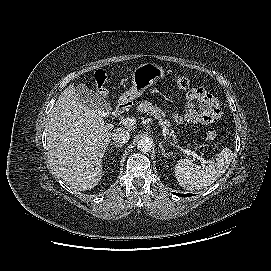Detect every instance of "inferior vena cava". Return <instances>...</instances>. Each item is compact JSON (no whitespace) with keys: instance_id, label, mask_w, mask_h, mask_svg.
Masks as SVG:
<instances>
[{"instance_id":"obj_1","label":"inferior vena cava","mask_w":271,"mask_h":271,"mask_svg":"<svg viewBox=\"0 0 271 271\" xmlns=\"http://www.w3.org/2000/svg\"><path fill=\"white\" fill-rule=\"evenodd\" d=\"M112 139L117 144H125L130 139V133L128 130L123 128H117L112 133Z\"/></svg>"}]
</instances>
